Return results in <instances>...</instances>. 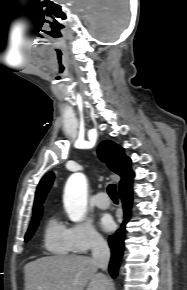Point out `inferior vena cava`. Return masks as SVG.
Here are the masks:
<instances>
[{"label": "inferior vena cava", "instance_id": "inferior-vena-cava-1", "mask_svg": "<svg viewBox=\"0 0 187 290\" xmlns=\"http://www.w3.org/2000/svg\"><path fill=\"white\" fill-rule=\"evenodd\" d=\"M92 259L98 268L103 271L107 270L110 260V249L106 241L100 236L94 237L92 241Z\"/></svg>", "mask_w": 187, "mask_h": 290}]
</instances>
